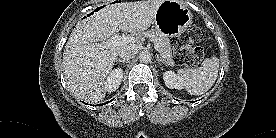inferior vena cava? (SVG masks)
I'll use <instances>...</instances> for the list:
<instances>
[{
    "label": "inferior vena cava",
    "instance_id": "602c4592",
    "mask_svg": "<svg viewBox=\"0 0 276 138\" xmlns=\"http://www.w3.org/2000/svg\"><path fill=\"white\" fill-rule=\"evenodd\" d=\"M138 47L136 45L127 47L124 49H121L118 52V55L125 61H129L130 59L134 58L135 55L137 54Z\"/></svg>",
    "mask_w": 276,
    "mask_h": 138
}]
</instances>
